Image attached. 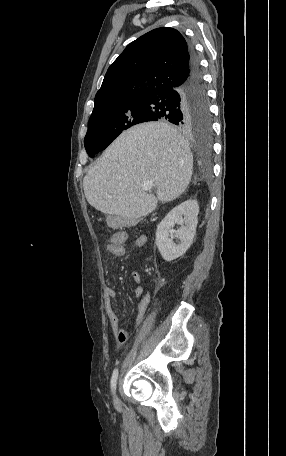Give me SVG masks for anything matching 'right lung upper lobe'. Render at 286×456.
<instances>
[{
  "label": "right lung upper lobe",
  "mask_w": 286,
  "mask_h": 456,
  "mask_svg": "<svg viewBox=\"0 0 286 456\" xmlns=\"http://www.w3.org/2000/svg\"><path fill=\"white\" fill-rule=\"evenodd\" d=\"M190 47L173 28H157L130 43L108 68L95 96L93 113L113 102L144 97L184 81Z\"/></svg>",
  "instance_id": "cb5924a9"
}]
</instances>
